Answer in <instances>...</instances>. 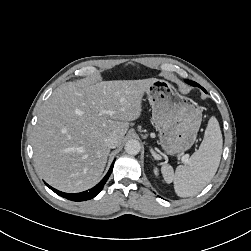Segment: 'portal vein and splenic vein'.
Here are the masks:
<instances>
[{
  "instance_id": "obj_1",
  "label": "portal vein and splenic vein",
  "mask_w": 251,
  "mask_h": 251,
  "mask_svg": "<svg viewBox=\"0 0 251 251\" xmlns=\"http://www.w3.org/2000/svg\"><path fill=\"white\" fill-rule=\"evenodd\" d=\"M106 113H109V112H106ZM182 161L183 162H188V156L187 155L183 156Z\"/></svg>"
}]
</instances>
